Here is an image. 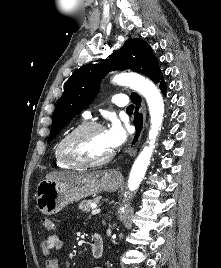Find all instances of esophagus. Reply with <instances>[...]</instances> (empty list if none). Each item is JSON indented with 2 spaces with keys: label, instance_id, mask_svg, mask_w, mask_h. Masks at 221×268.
I'll return each mask as SVG.
<instances>
[{
  "label": "esophagus",
  "instance_id": "esophagus-1",
  "mask_svg": "<svg viewBox=\"0 0 221 268\" xmlns=\"http://www.w3.org/2000/svg\"><path fill=\"white\" fill-rule=\"evenodd\" d=\"M140 113H142L143 116H145L146 114V109L144 104L141 105L140 109H139ZM136 154V149L131 150V155L134 156ZM113 176H119L117 174H113Z\"/></svg>",
  "mask_w": 221,
  "mask_h": 268
}]
</instances>
